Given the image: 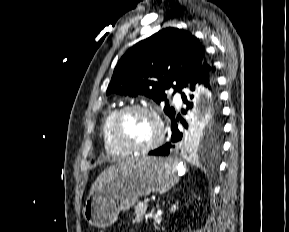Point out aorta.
<instances>
[{"instance_id":"762f6f07","label":"aorta","mask_w":289,"mask_h":232,"mask_svg":"<svg viewBox=\"0 0 289 232\" xmlns=\"http://www.w3.org/2000/svg\"><path fill=\"white\" fill-rule=\"evenodd\" d=\"M201 110H202V116L208 114L211 110V100L209 98V95L207 94L205 97H203L202 104H201ZM202 118V119H203Z\"/></svg>"}]
</instances>
